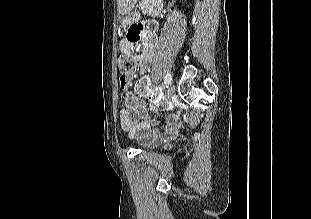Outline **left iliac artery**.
Returning a JSON list of instances; mask_svg holds the SVG:
<instances>
[{
  "label": "left iliac artery",
  "instance_id": "44dca946",
  "mask_svg": "<svg viewBox=\"0 0 311 219\" xmlns=\"http://www.w3.org/2000/svg\"><path fill=\"white\" fill-rule=\"evenodd\" d=\"M164 83L167 84V85H169V84L172 83V76H171L170 73H167V74L165 75Z\"/></svg>",
  "mask_w": 311,
  "mask_h": 219
}]
</instances>
